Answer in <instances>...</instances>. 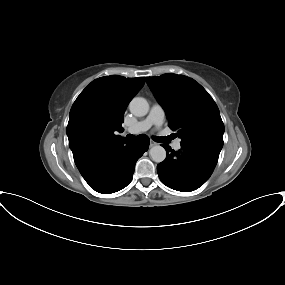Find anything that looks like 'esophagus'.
<instances>
[{
    "label": "esophagus",
    "instance_id": "1",
    "mask_svg": "<svg viewBox=\"0 0 285 285\" xmlns=\"http://www.w3.org/2000/svg\"><path fill=\"white\" fill-rule=\"evenodd\" d=\"M157 145V143L156 142H154V141H150V147H154V146H156Z\"/></svg>",
    "mask_w": 285,
    "mask_h": 285
}]
</instances>
